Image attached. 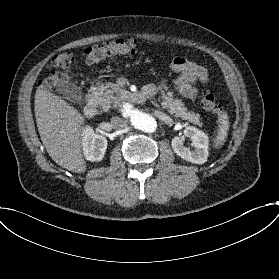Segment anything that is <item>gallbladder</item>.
I'll list each match as a JSON object with an SVG mask.
<instances>
[{
	"instance_id": "1",
	"label": "gallbladder",
	"mask_w": 279,
	"mask_h": 279,
	"mask_svg": "<svg viewBox=\"0 0 279 279\" xmlns=\"http://www.w3.org/2000/svg\"><path fill=\"white\" fill-rule=\"evenodd\" d=\"M58 93L62 94L65 99L73 103L82 104L84 102L81 88L70 81H60L56 84Z\"/></svg>"
}]
</instances>
